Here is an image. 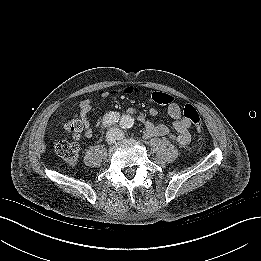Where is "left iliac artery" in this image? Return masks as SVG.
Returning a JSON list of instances; mask_svg holds the SVG:
<instances>
[{
    "label": "left iliac artery",
    "instance_id": "1",
    "mask_svg": "<svg viewBox=\"0 0 261 261\" xmlns=\"http://www.w3.org/2000/svg\"><path fill=\"white\" fill-rule=\"evenodd\" d=\"M133 124L134 120L131 117L125 115L121 118L120 125L123 129H129L133 126Z\"/></svg>",
    "mask_w": 261,
    "mask_h": 261
}]
</instances>
